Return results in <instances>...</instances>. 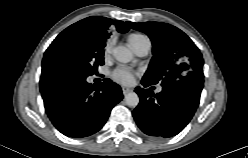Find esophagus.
Returning <instances> with one entry per match:
<instances>
[{"instance_id": "34e87169", "label": "esophagus", "mask_w": 248, "mask_h": 158, "mask_svg": "<svg viewBox=\"0 0 248 158\" xmlns=\"http://www.w3.org/2000/svg\"><path fill=\"white\" fill-rule=\"evenodd\" d=\"M131 91H132V89H130L128 87H122V93H123V95H127Z\"/></svg>"}]
</instances>
